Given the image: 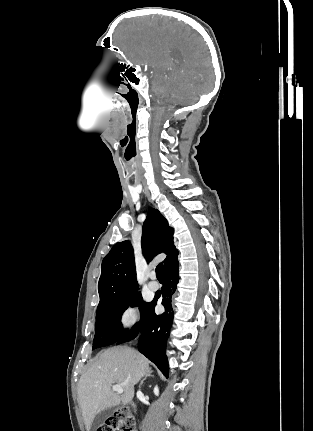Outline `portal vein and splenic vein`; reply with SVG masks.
Returning a JSON list of instances; mask_svg holds the SVG:
<instances>
[{
	"mask_svg": "<svg viewBox=\"0 0 313 431\" xmlns=\"http://www.w3.org/2000/svg\"><path fill=\"white\" fill-rule=\"evenodd\" d=\"M112 390H113L114 392L119 393V394H122V393H123V388H122V386H121L120 384H115V385H113Z\"/></svg>",
	"mask_w": 313,
	"mask_h": 431,
	"instance_id": "1",
	"label": "portal vein and splenic vein"
}]
</instances>
